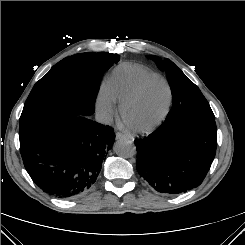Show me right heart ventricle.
I'll use <instances>...</instances> for the list:
<instances>
[{
    "instance_id": "obj_1",
    "label": "right heart ventricle",
    "mask_w": 245,
    "mask_h": 245,
    "mask_svg": "<svg viewBox=\"0 0 245 245\" xmlns=\"http://www.w3.org/2000/svg\"><path fill=\"white\" fill-rule=\"evenodd\" d=\"M158 76L149 68L139 64H122L111 73L108 88L115 101L122 103L146 79Z\"/></svg>"
}]
</instances>
